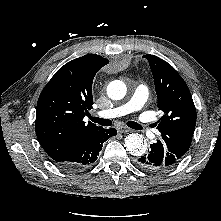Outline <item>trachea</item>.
<instances>
[{"mask_svg":"<svg viewBox=\"0 0 221 221\" xmlns=\"http://www.w3.org/2000/svg\"><path fill=\"white\" fill-rule=\"evenodd\" d=\"M91 120L95 123H98L101 126H111L112 125V121L110 119H102L99 117H91ZM127 125L132 128V129H136V130H141L142 126L134 121H129L127 122Z\"/></svg>","mask_w":221,"mask_h":221,"instance_id":"1","label":"trachea"}]
</instances>
